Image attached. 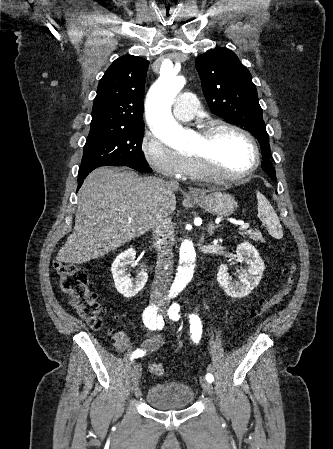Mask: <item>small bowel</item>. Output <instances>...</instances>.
Instances as JSON below:
<instances>
[{
    "instance_id": "1",
    "label": "small bowel",
    "mask_w": 333,
    "mask_h": 449,
    "mask_svg": "<svg viewBox=\"0 0 333 449\" xmlns=\"http://www.w3.org/2000/svg\"><path fill=\"white\" fill-rule=\"evenodd\" d=\"M112 343L118 352L128 351L132 347V343L128 336L124 332H117L112 336ZM162 344V337L155 335L148 338L143 343V349L146 351H152L158 348Z\"/></svg>"
}]
</instances>
